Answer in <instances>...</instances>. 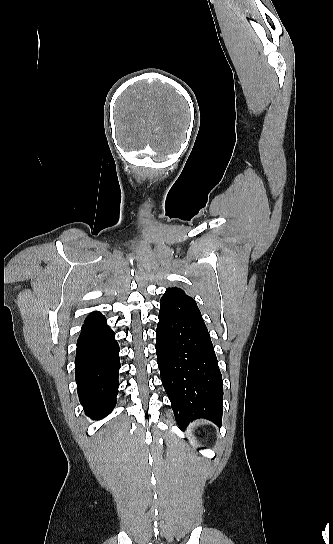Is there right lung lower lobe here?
I'll use <instances>...</instances> for the list:
<instances>
[{
	"label": "right lung lower lobe",
	"mask_w": 333,
	"mask_h": 544,
	"mask_svg": "<svg viewBox=\"0 0 333 544\" xmlns=\"http://www.w3.org/2000/svg\"><path fill=\"white\" fill-rule=\"evenodd\" d=\"M119 350L115 333L103 315L84 322L77 341L75 372L80 402L92 419L106 417L115 407Z\"/></svg>",
	"instance_id": "1"
}]
</instances>
